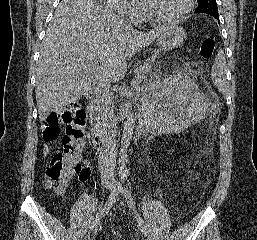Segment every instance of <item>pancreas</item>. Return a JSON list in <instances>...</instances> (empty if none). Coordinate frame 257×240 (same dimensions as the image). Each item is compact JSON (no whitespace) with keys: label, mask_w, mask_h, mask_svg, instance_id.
<instances>
[{"label":"pancreas","mask_w":257,"mask_h":240,"mask_svg":"<svg viewBox=\"0 0 257 240\" xmlns=\"http://www.w3.org/2000/svg\"><path fill=\"white\" fill-rule=\"evenodd\" d=\"M158 56H152L150 59H147L136 69V79L133 83L134 87H138L139 84L148 78V75L155 68L156 60ZM113 104V95L109 90L102 89L98 90L95 93V97L90 102V109L95 115H98V118L101 119L107 111L110 109Z\"/></svg>","instance_id":"1"}]
</instances>
